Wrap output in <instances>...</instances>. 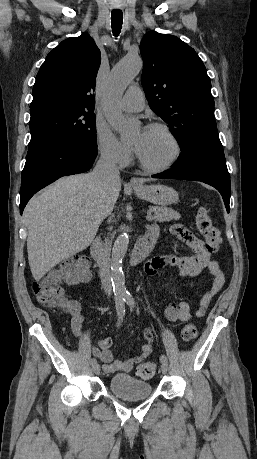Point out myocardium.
Masks as SVG:
<instances>
[{
  "instance_id": "f54148a6",
  "label": "myocardium",
  "mask_w": 257,
  "mask_h": 459,
  "mask_svg": "<svg viewBox=\"0 0 257 459\" xmlns=\"http://www.w3.org/2000/svg\"><path fill=\"white\" fill-rule=\"evenodd\" d=\"M146 128L158 129V130H161L162 132H164L173 143L174 153H173V156L170 158V160L167 161L165 164L160 165V166H153V165H150L147 162H145L143 160V158L140 156L138 150L136 149L135 150L136 151V156H137V159L139 161L140 166L144 170H146L148 172H152V173H160V172H164V171L169 170L170 168H172L178 162V160L180 159L181 154H182V147H181L179 139L174 134V132L167 125H165L163 123L153 122V123L148 124Z\"/></svg>"
}]
</instances>
